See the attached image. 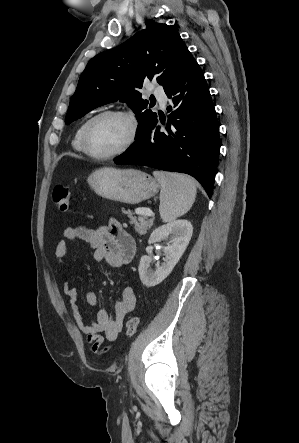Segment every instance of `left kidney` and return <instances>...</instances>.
Returning a JSON list of instances; mask_svg holds the SVG:
<instances>
[{
    "label": "left kidney",
    "mask_w": 299,
    "mask_h": 443,
    "mask_svg": "<svg viewBox=\"0 0 299 443\" xmlns=\"http://www.w3.org/2000/svg\"><path fill=\"white\" fill-rule=\"evenodd\" d=\"M193 227L188 220H176L155 229L148 240L149 244L166 241L164 247L165 259L160 265L156 264L155 271L148 270L152 258L142 256L139 264V276L141 282L152 287L162 282L173 270L175 265L186 250L191 240Z\"/></svg>",
    "instance_id": "obj_1"
}]
</instances>
